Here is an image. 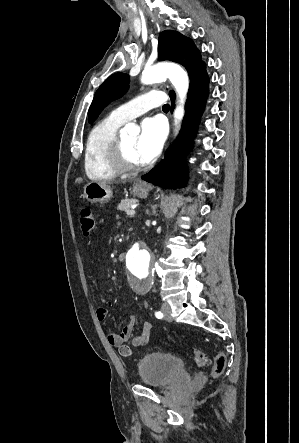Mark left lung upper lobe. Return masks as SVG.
Segmentation results:
<instances>
[{
    "label": "left lung upper lobe",
    "mask_w": 299,
    "mask_h": 443,
    "mask_svg": "<svg viewBox=\"0 0 299 443\" xmlns=\"http://www.w3.org/2000/svg\"><path fill=\"white\" fill-rule=\"evenodd\" d=\"M158 59L170 60L183 65L188 71L189 78L204 64L193 42L176 31L166 30L159 36ZM129 76L115 73L107 78L95 93L90 106L89 123H92L100 112L111 101L121 97L128 90ZM169 95H174L173 91Z\"/></svg>",
    "instance_id": "1"
}]
</instances>
